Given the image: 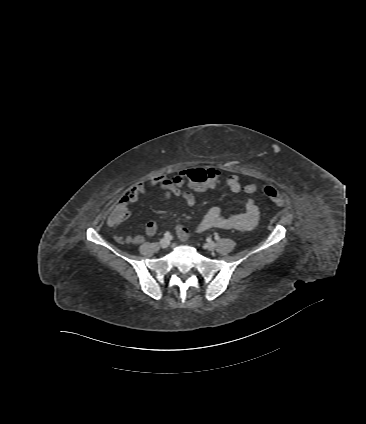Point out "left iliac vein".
Wrapping results in <instances>:
<instances>
[{"label":"left iliac vein","instance_id":"left-iliac-vein-1","mask_svg":"<svg viewBox=\"0 0 366 424\" xmlns=\"http://www.w3.org/2000/svg\"><path fill=\"white\" fill-rule=\"evenodd\" d=\"M205 248L207 250H214L216 248V243L213 241H210L205 245Z\"/></svg>","mask_w":366,"mask_h":424}]
</instances>
